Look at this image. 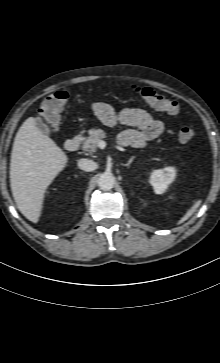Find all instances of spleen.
<instances>
[{"mask_svg":"<svg viewBox=\"0 0 220 363\" xmlns=\"http://www.w3.org/2000/svg\"><path fill=\"white\" fill-rule=\"evenodd\" d=\"M201 200L196 201V203L193 205V207L186 213V215L182 218L181 222L187 220L200 206Z\"/></svg>","mask_w":220,"mask_h":363,"instance_id":"1","label":"spleen"}]
</instances>
